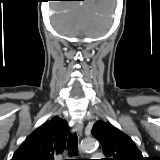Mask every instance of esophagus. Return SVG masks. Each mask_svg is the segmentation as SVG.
Instances as JSON below:
<instances>
[{"label": "esophagus", "mask_w": 160, "mask_h": 160, "mask_svg": "<svg viewBox=\"0 0 160 160\" xmlns=\"http://www.w3.org/2000/svg\"><path fill=\"white\" fill-rule=\"evenodd\" d=\"M73 131L76 132L78 136H81L83 131V124L80 122H75L73 126Z\"/></svg>", "instance_id": "34e87169"}]
</instances>
